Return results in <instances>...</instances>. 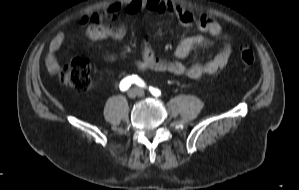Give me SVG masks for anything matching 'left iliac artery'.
<instances>
[{
    "instance_id": "44dca946",
    "label": "left iliac artery",
    "mask_w": 299,
    "mask_h": 190,
    "mask_svg": "<svg viewBox=\"0 0 299 190\" xmlns=\"http://www.w3.org/2000/svg\"><path fill=\"white\" fill-rule=\"evenodd\" d=\"M149 90L154 96L160 95V91L157 88L149 87Z\"/></svg>"
}]
</instances>
